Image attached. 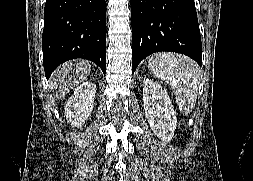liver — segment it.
I'll list each match as a JSON object with an SVG mask.
<instances>
[{"label": "liver", "mask_w": 253, "mask_h": 181, "mask_svg": "<svg viewBox=\"0 0 253 181\" xmlns=\"http://www.w3.org/2000/svg\"><path fill=\"white\" fill-rule=\"evenodd\" d=\"M91 65L85 60H74L60 66L54 72L51 86L58 89L59 98L64 97L74 86L87 79Z\"/></svg>", "instance_id": "obj_1"}]
</instances>
